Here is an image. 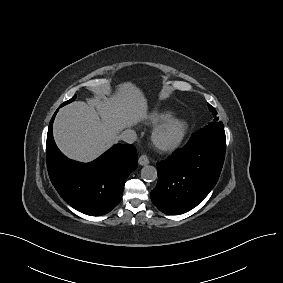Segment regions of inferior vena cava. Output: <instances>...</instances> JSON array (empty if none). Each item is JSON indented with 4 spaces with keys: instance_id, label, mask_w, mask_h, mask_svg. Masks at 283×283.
<instances>
[{
    "instance_id": "602c4592",
    "label": "inferior vena cava",
    "mask_w": 283,
    "mask_h": 283,
    "mask_svg": "<svg viewBox=\"0 0 283 283\" xmlns=\"http://www.w3.org/2000/svg\"><path fill=\"white\" fill-rule=\"evenodd\" d=\"M119 138L126 143L132 144L135 142L137 135L134 130L126 129L120 134Z\"/></svg>"
}]
</instances>
